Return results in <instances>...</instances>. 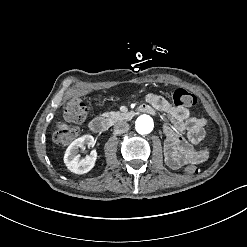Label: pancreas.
<instances>
[{
	"instance_id": "pancreas-1",
	"label": "pancreas",
	"mask_w": 247,
	"mask_h": 247,
	"mask_svg": "<svg viewBox=\"0 0 247 247\" xmlns=\"http://www.w3.org/2000/svg\"><path fill=\"white\" fill-rule=\"evenodd\" d=\"M102 117L106 118L108 122L114 123L117 121H123L130 117L127 113H119L117 111L104 112Z\"/></svg>"
}]
</instances>
